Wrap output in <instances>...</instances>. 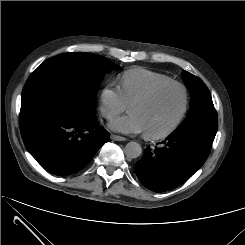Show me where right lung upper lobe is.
Masks as SVG:
<instances>
[{
    "label": "right lung upper lobe",
    "mask_w": 245,
    "mask_h": 245,
    "mask_svg": "<svg viewBox=\"0 0 245 245\" xmlns=\"http://www.w3.org/2000/svg\"><path fill=\"white\" fill-rule=\"evenodd\" d=\"M67 79L64 72L54 67L50 62L42 63L29 77L30 81L37 84L59 83ZM64 107L63 105H58Z\"/></svg>",
    "instance_id": "obj_1"
}]
</instances>
